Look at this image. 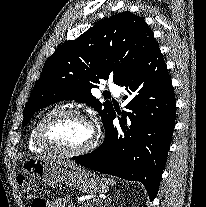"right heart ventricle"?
Wrapping results in <instances>:
<instances>
[{
    "mask_svg": "<svg viewBox=\"0 0 206 207\" xmlns=\"http://www.w3.org/2000/svg\"><path fill=\"white\" fill-rule=\"evenodd\" d=\"M55 110H51L48 111L44 114H42L34 123V125L32 126L30 132H29V136H28V148L30 151L35 152V153H39V152H43L44 150L42 148H40L39 146H37V144L35 143V130L37 128V126L39 125V123L49 114L53 113Z\"/></svg>",
    "mask_w": 206,
    "mask_h": 207,
    "instance_id": "1",
    "label": "right heart ventricle"
}]
</instances>
